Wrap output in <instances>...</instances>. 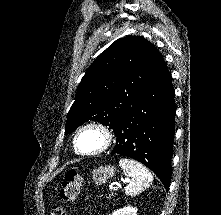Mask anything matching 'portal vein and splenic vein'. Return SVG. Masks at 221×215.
I'll return each mask as SVG.
<instances>
[{"label":"portal vein and splenic vein","mask_w":221,"mask_h":215,"mask_svg":"<svg viewBox=\"0 0 221 215\" xmlns=\"http://www.w3.org/2000/svg\"><path fill=\"white\" fill-rule=\"evenodd\" d=\"M125 182H128V180L126 179ZM118 188H120V186L114 187V188H113V191L111 192V194H113V192L117 191Z\"/></svg>","instance_id":"obj_1"}]
</instances>
